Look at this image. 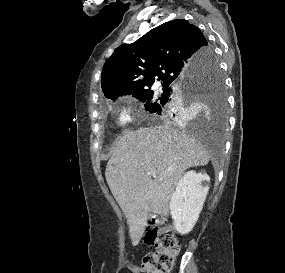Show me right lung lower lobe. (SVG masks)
<instances>
[{
  "instance_id": "1",
  "label": "right lung lower lobe",
  "mask_w": 285,
  "mask_h": 273,
  "mask_svg": "<svg viewBox=\"0 0 285 273\" xmlns=\"http://www.w3.org/2000/svg\"><path fill=\"white\" fill-rule=\"evenodd\" d=\"M207 60L204 58L200 61V63H198L195 67H194V71H189L187 72L185 75H183L182 77L176 79L174 82H172L171 86L172 87H177L179 89H185L187 87H189L191 85V79L193 77V75L195 73H201L203 72V70L207 67ZM160 111L159 110L157 112V114L160 115Z\"/></svg>"
}]
</instances>
